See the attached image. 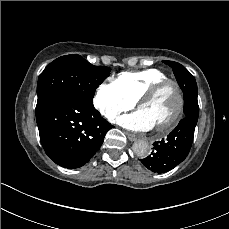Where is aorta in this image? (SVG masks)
Listing matches in <instances>:
<instances>
[{
    "instance_id": "aorta-1",
    "label": "aorta",
    "mask_w": 229,
    "mask_h": 229,
    "mask_svg": "<svg viewBox=\"0 0 229 229\" xmlns=\"http://www.w3.org/2000/svg\"><path fill=\"white\" fill-rule=\"evenodd\" d=\"M133 151L139 157H144L149 153V144L144 140H137L133 143Z\"/></svg>"
}]
</instances>
